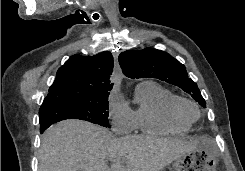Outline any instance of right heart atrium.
Here are the masks:
<instances>
[{
  "mask_svg": "<svg viewBox=\"0 0 245 171\" xmlns=\"http://www.w3.org/2000/svg\"><path fill=\"white\" fill-rule=\"evenodd\" d=\"M108 118L112 130L117 133L127 134L134 128L132 111L114 92L110 94L108 99Z\"/></svg>",
  "mask_w": 245,
  "mask_h": 171,
  "instance_id": "d8ad5b80",
  "label": "right heart atrium"
}]
</instances>
